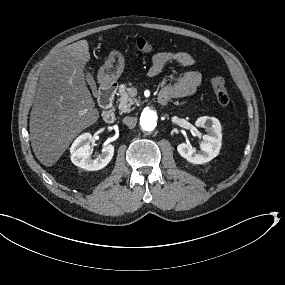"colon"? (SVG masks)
Segmentation results:
<instances>
[{
  "mask_svg": "<svg viewBox=\"0 0 285 285\" xmlns=\"http://www.w3.org/2000/svg\"><path fill=\"white\" fill-rule=\"evenodd\" d=\"M133 44L136 49L144 53H149L153 50V44L149 40L142 37L134 39ZM211 85L218 103L221 105L229 104L231 95L226 86L225 80L219 76L212 77Z\"/></svg>",
  "mask_w": 285,
  "mask_h": 285,
  "instance_id": "5ec220e1",
  "label": "colon"
}]
</instances>
